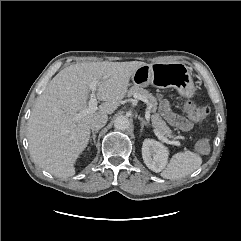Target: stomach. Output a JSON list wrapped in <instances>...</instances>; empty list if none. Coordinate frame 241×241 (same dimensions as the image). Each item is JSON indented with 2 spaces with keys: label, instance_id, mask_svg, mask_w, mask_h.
<instances>
[{
  "label": "stomach",
  "instance_id": "obj_1",
  "mask_svg": "<svg viewBox=\"0 0 241 241\" xmlns=\"http://www.w3.org/2000/svg\"><path fill=\"white\" fill-rule=\"evenodd\" d=\"M133 84L140 87L153 85L157 88L173 87L185 97L195 92L189 68L182 62H161L145 64L132 76Z\"/></svg>",
  "mask_w": 241,
  "mask_h": 241
}]
</instances>
